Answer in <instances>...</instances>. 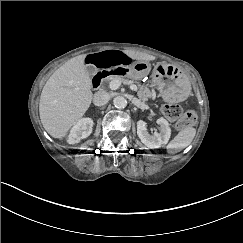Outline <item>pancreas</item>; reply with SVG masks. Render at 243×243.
<instances>
[{"label":"pancreas","mask_w":243,"mask_h":243,"mask_svg":"<svg viewBox=\"0 0 243 243\" xmlns=\"http://www.w3.org/2000/svg\"><path fill=\"white\" fill-rule=\"evenodd\" d=\"M112 81L113 80H118L120 82H124L125 79L121 78V77H111L110 78ZM137 96L142 100V101H147L148 98H150L152 96V93L150 91V89L146 86V85H138V92H137Z\"/></svg>","instance_id":"pancreas-1"}]
</instances>
